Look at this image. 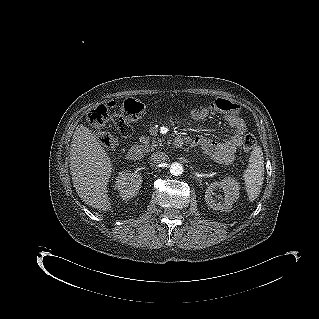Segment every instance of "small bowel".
I'll list each match as a JSON object with an SVG mask.
<instances>
[{
    "mask_svg": "<svg viewBox=\"0 0 319 319\" xmlns=\"http://www.w3.org/2000/svg\"><path fill=\"white\" fill-rule=\"evenodd\" d=\"M227 124L230 128L238 132L244 130V122L235 113L226 116ZM219 134L218 139H212L203 135H196L191 140V146H200L202 150L217 162L227 164L231 162L234 151L240 142L239 135L226 134L223 127H216Z\"/></svg>",
    "mask_w": 319,
    "mask_h": 319,
    "instance_id": "1",
    "label": "small bowel"
}]
</instances>
